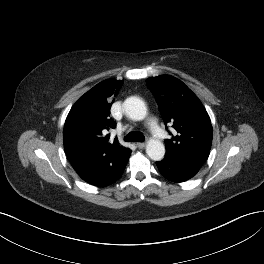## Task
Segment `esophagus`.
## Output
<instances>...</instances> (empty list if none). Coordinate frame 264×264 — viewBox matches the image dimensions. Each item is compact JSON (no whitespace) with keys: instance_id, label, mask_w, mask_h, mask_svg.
I'll return each instance as SVG.
<instances>
[{"instance_id":"34e87169","label":"esophagus","mask_w":264,"mask_h":264,"mask_svg":"<svg viewBox=\"0 0 264 264\" xmlns=\"http://www.w3.org/2000/svg\"><path fill=\"white\" fill-rule=\"evenodd\" d=\"M136 146H137L139 149H143V148L146 146V143H145V142H137V143H136Z\"/></svg>"}]
</instances>
